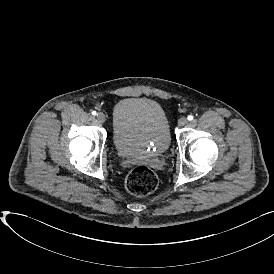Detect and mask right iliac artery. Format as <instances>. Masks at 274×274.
I'll list each match as a JSON object with an SVG mask.
<instances>
[{
    "instance_id": "82829eb1",
    "label": "right iliac artery",
    "mask_w": 274,
    "mask_h": 274,
    "mask_svg": "<svg viewBox=\"0 0 274 274\" xmlns=\"http://www.w3.org/2000/svg\"><path fill=\"white\" fill-rule=\"evenodd\" d=\"M96 114H97V113H96V111H92V115H94V116H95Z\"/></svg>"
}]
</instances>
